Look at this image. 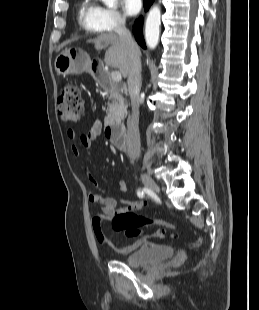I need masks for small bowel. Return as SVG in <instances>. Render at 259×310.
<instances>
[{
	"mask_svg": "<svg viewBox=\"0 0 259 310\" xmlns=\"http://www.w3.org/2000/svg\"><path fill=\"white\" fill-rule=\"evenodd\" d=\"M102 132V125L99 121H95L90 129L79 136V144L85 149H90L93 143L98 139ZM67 138L71 141L75 140L76 134L73 129L69 128L66 132ZM71 151L74 156L78 157L81 155L80 147L77 144H72ZM87 176L89 181L94 187H99V183L93 173L87 169ZM119 193H123L126 190V183L120 181L117 185ZM88 202L91 206H100L99 211H93L91 214V224L97 241L104 247H107L120 255H129L136 251L143 245H146L149 241L147 236H144L130 245L120 246L109 240L103 229L104 222L111 221L114 215L123 211H138L141 210L145 205L146 201L140 199L138 201L127 202L126 207L123 209L117 208V201L115 198L110 196H103L99 193L92 192L88 195Z\"/></svg>",
	"mask_w": 259,
	"mask_h": 310,
	"instance_id": "c3829d8e",
	"label": "small bowel"
}]
</instances>
